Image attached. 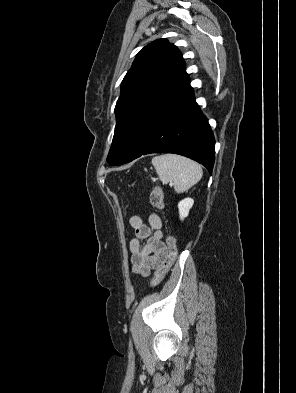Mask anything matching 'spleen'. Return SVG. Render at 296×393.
Segmentation results:
<instances>
[{
    "instance_id": "spleen-1",
    "label": "spleen",
    "mask_w": 296,
    "mask_h": 393,
    "mask_svg": "<svg viewBox=\"0 0 296 393\" xmlns=\"http://www.w3.org/2000/svg\"><path fill=\"white\" fill-rule=\"evenodd\" d=\"M152 165L162 183L172 182L177 193L190 189L203 175L198 163L175 154L156 156L152 159Z\"/></svg>"
}]
</instances>
